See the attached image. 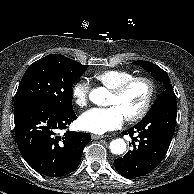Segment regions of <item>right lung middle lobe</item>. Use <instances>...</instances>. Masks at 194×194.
<instances>
[{
	"instance_id": "right-lung-middle-lobe-1",
	"label": "right lung middle lobe",
	"mask_w": 194,
	"mask_h": 194,
	"mask_svg": "<svg viewBox=\"0 0 194 194\" xmlns=\"http://www.w3.org/2000/svg\"><path fill=\"white\" fill-rule=\"evenodd\" d=\"M88 68L60 54H50L26 70L15 95L14 107L41 103L55 110L72 108V87Z\"/></svg>"
}]
</instances>
